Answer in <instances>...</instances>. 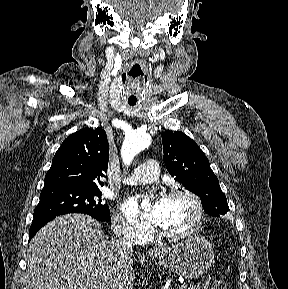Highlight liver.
<instances>
[{"label": "liver", "instance_id": "obj_1", "mask_svg": "<svg viewBox=\"0 0 288 289\" xmlns=\"http://www.w3.org/2000/svg\"><path fill=\"white\" fill-rule=\"evenodd\" d=\"M170 249L148 255L161 259ZM26 261L30 289H132L134 283L132 257L119 255L100 223L83 214L62 215L41 228Z\"/></svg>", "mask_w": 288, "mask_h": 289}]
</instances>
